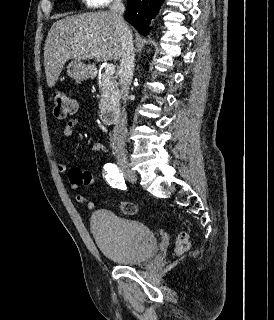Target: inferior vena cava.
Returning a JSON list of instances; mask_svg holds the SVG:
<instances>
[{
  "mask_svg": "<svg viewBox=\"0 0 274 320\" xmlns=\"http://www.w3.org/2000/svg\"><path fill=\"white\" fill-rule=\"evenodd\" d=\"M125 12L122 0H113L110 6V14L115 24V32L119 36L121 44L120 52V68H119V82L121 88L122 108L118 122V140L122 142L126 134L127 112L126 106L128 102V94L134 70V48L132 32L127 26L123 14Z\"/></svg>",
  "mask_w": 274,
  "mask_h": 320,
  "instance_id": "obj_1",
  "label": "inferior vena cava"
}]
</instances>
